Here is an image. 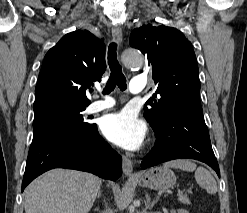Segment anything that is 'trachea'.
I'll use <instances>...</instances> for the list:
<instances>
[{
  "label": "trachea",
  "instance_id": "3493384b",
  "mask_svg": "<svg viewBox=\"0 0 247 213\" xmlns=\"http://www.w3.org/2000/svg\"><path fill=\"white\" fill-rule=\"evenodd\" d=\"M116 43H111L108 49V64L110 68V77L106 83L103 93L109 94L112 92L116 86L120 88L121 91H125L127 88L126 78L122 73L121 66L117 61L116 56Z\"/></svg>",
  "mask_w": 247,
  "mask_h": 213
}]
</instances>
